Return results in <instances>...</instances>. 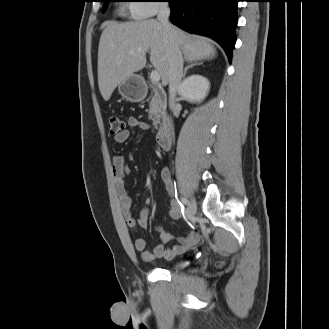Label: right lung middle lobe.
<instances>
[{
	"mask_svg": "<svg viewBox=\"0 0 329 329\" xmlns=\"http://www.w3.org/2000/svg\"><path fill=\"white\" fill-rule=\"evenodd\" d=\"M101 1H103L104 2V4H103V12L105 11V9H106V7H107V3L108 2H111V1H114V0H101Z\"/></svg>",
	"mask_w": 329,
	"mask_h": 329,
	"instance_id": "obj_1",
	"label": "right lung middle lobe"
}]
</instances>
